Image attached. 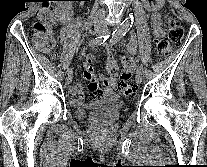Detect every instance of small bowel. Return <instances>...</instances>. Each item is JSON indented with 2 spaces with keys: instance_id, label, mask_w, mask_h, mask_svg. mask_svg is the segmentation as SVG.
I'll use <instances>...</instances> for the list:
<instances>
[{
  "instance_id": "obj_1",
  "label": "small bowel",
  "mask_w": 207,
  "mask_h": 167,
  "mask_svg": "<svg viewBox=\"0 0 207 167\" xmlns=\"http://www.w3.org/2000/svg\"><path fill=\"white\" fill-rule=\"evenodd\" d=\"M156 2L160 0H155ZM151 27L155 37L160 38L164 35L163 31V20L161 15L158 12H153L151 15ZM67 34V30H63L59 36V40L63 41ZM137 44L136 36H132L129 41V50L131 53L134 52ZM108 51L105 64L106 70L109 74L108 77L97 74L94 67L93 61L94 57L91 55H86L84 57L83 66H84V76L89 81V96L87 98L89 102H95L100 98H109L115 96V87H116V75L118 73V65L116 60L113 58L109 52V47L106 46ZM136 69V63L133 56H127L123 58V73L128 77ZM69 101L73 106L80 105L84 100V88L82 84L77 83L69 88Z\"/></svg>"
}]
</instances>
